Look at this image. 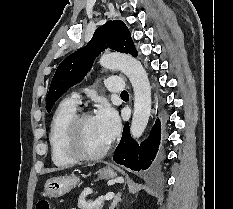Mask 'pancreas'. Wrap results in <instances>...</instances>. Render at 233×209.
I'll return each instance as SVG.
<instances>
[{"instance_id":"1","label":"pancreas","mask_w":233,"mask_h":209,"mask_svg":"<svg viewBox=\"0 0 233 209\" xmlns=\"http://www.w3.org/2000/svg\"><path fill=\"white\" fill-rule=\"evenodd\" d=\"M87 189H85L78 199V207L80 209H102L104 206V199L86 200Z\"/></svg>"}]
</instances>
